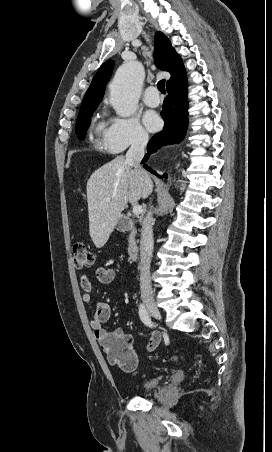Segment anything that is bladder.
<instances>
[{"label":"bladder","instance_id":"1","mask_svg":"<svg viewBox=\"0 0 272 452\" xmlns=\"http://www.w3.org/2000/svg\"><path fill=\"white\" fill-rule=\"evenodd\" d=\"M159 384L160 381L157 377H148L138 384V389L142 391H147L158 387Z\"/></svg>","mask_w":272,"mask_h":452}]
</instances>
